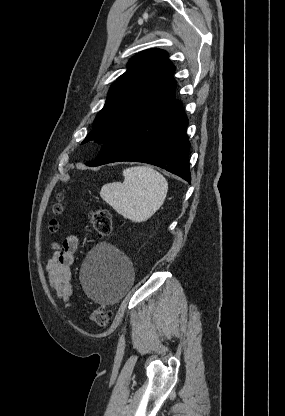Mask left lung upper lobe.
Here are the masks:
<instances>
[{
    "mask_svg": "<svg viewBox=\"0 0 285 416\" xmlns=\"http://www.w3.org/2000/svg\"><path fill=\"white\" fill-rule=\"evenodd\" d=\"M174 71L163 50L150 49L132 57L128 70L112 84L93 131L82 144L90 140L104 144L130 122L175 100Z\"/></svg>",
    "mask_w": 285,
    "mask_h": 416,
    "instance_id": "1",
    "label": "left lung upper lobe"
}]
</instances>
